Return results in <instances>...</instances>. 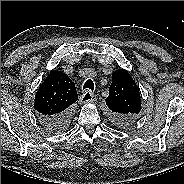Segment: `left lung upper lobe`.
I'll return each mask as SVG.
<instances>
[{
  "mask_svg": "<svg viewBox=\"0 0 184 184\" xmlns=\"http://www.w3.org/2000/svg\"><path fill=\"white\" fill-rule=\"evenodd\" d=\"M105 101L113 121L119 125L133 122L140 116L141 96L139 88L125 69L113 72L109 96Z\"/></svg>",
  "mask_w": 184,
  "mask_h": 184,
  "instance_id": "left-lung-upper-lobe-1",
  "label": "left lung upper lobe"
}]
</instances>
